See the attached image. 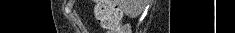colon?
I'll return each instance as SVG.
<instances>
[{"mask_svg":"<svg viewBox=\"0 0 235 33\" xmlns=\"http://www.w3.org/2000/svg\"><path fill=\"white\" fill-rule=\"evenodd\" d=\"M95 15L102 27L115 33L128 29L121 25L122 12L113 0H96Z\"/></svg>","mask_w":235,"mask_h":33,"instance_id":"1","label":"colon"}]
</instances>
